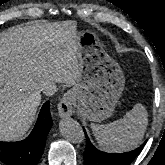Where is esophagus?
<instances>
[{"mask_svg":"<svg viewBox=\"0 0 165 165\" xmlns=\"http://www.w3.org/2000/svg\"><path fill=\"white\" fill-rule=\"evenodd\" d=\"M58 112L61 118H69L73 113V94L66 93L58 104Z\"/></svg>","mask_w":165,"mask_h":165,"instance_id":"34e87169","label":"esophagus"}]
</instances>
